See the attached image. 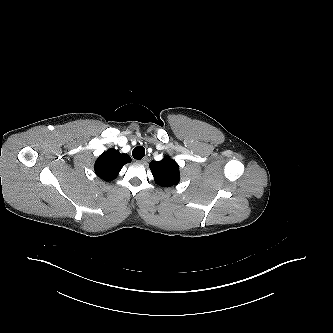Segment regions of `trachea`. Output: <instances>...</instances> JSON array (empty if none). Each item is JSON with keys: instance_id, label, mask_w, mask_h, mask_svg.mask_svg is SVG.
Wrapping results in <instances>:
<instances>
[{"instance_id": "trachea-1", "label": "trachea", "mask_w": 333, "mask_h": 333, "mask_svg": "<svg viewBox=\"0 0 333 333\" xmlns=\"http://www.w3.org/2000/svg\"><path fill=\"white\" fill-rule=\"evenodd\" d=\"M132 155L134 159L140 160L145 155V148L142 146H137L133 149Z\"/></svg>"}]
</instances>
